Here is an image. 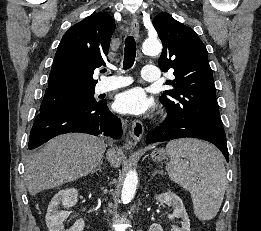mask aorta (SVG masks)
<instances>
[{"label": "aorta", "mask_w": 261, "mask_h": 231, "mask_svg": "<svg viewBox=\"0 0 261 231\" xmlns=\"http://www.w3.org/2000/svg\"><path fill=\"white\" fill-rule=\"evenodd\" d=\"M142 50L146 55H157L162 51V44L158 40H145ZM138 184V176L135 170H130L123 182L121 200L123 203H129L134 197Z\"/></svg>", "instance_id": "762f6f07"}]
</instances>
